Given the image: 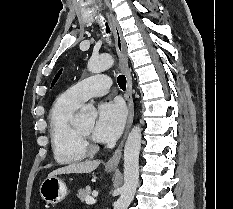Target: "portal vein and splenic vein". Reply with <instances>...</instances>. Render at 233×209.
<instances>
[{
    "mask_svg": "<svg viewBox=\"0 0 233 209\" xmlns=\"http://www.w3.org/2000/svg\"><path fill=\"white\" fill-rule=\"evenodd\" d=\"M85 202L88 205H93V204L96 203V200L94 198H92V197H86Z\"/></svg>",
    "mask_w": 233,
    "mask_h": 209,
    "instance_id": "obj_1",
    "label": "portal vein and splenic vein"
}]
</instances>
